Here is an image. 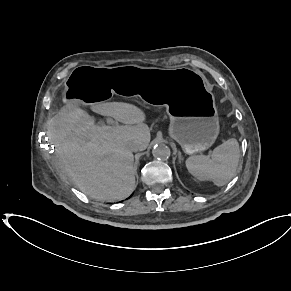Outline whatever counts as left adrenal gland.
<instances>
[{
	"label": "left adrenal gland",
	"mask_w": 291,
	"mask_h": 291,
	"mask_svg": "<svg viewBox=\"0 0 291 291\" xmlns=\"http://www.w3.org/2000/svg\"><path fill=\"white\" fill-rule=\"evenodd\" d=\"M182 160V156H181V153H179V161L181 162Z\"/></svg>",
	"instance_id": "1"
}]
</instances>
